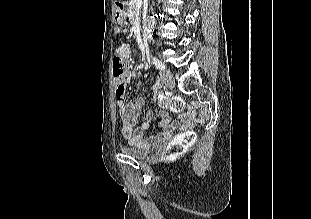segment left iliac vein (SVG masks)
Here are the masks:
<instances>
[{
    "instance_id": "obj_1",
    "label": "left iliac vein",
    "mask_w": 311,
    "mask_h": 219,
    "mask_svg": "<svg viewBox=\"0 0 311 219\" xmlns=\"http://www.w3.org/2000/svg\"><path fill=\"white\" fill-rule=\"evenodd\" d=\"M160 79L164 86L167 88H173L175 86L173 74L169 70H162L160 72Z\"/></svg>"
}]
</instances>
